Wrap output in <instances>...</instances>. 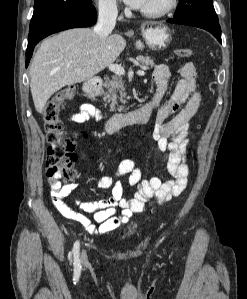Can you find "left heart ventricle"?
Here are the masks:
<instances>
[{
  "instance_id": "1",
  "label": "left heart ventricle",
  "mask_w": 247,
  "mask_h": 299,
  "mask_svg": "<svg viewBox=\"0 0 247 299\" xmlns=\"http://www.w3.org/2000/svg\"><path fill=\"white\" fill-rule=\"evenodd\" d=\"M166 0H146L142 9H156L161 7Z\"/></svg>"
}]
</instances>
